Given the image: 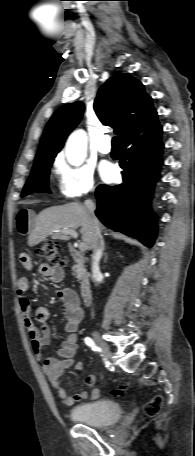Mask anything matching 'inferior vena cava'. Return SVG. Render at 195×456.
Wrapping results in <instances>:
<instances>
[{"label":"inferior vena cava","instance_id":"1","mask_svg":"<svg viewBox=\"0 0 195 456\" xmlns=\"http://www.w3.org/2000/svg\"><path fill=\"white\" fill-rule=\"evenodd\" d=\"M85 207L90 215L91 222L94 228V243H93V254H92V277L94 282L101 276L99 269V262L104 250V240L101 235L100 224L97 217L94 214L95 204L91 199L85 201ZM97 285V283H95Z\"/></svg>","mask_w":195,"mask_h":456}]
</instances>
